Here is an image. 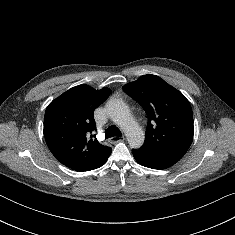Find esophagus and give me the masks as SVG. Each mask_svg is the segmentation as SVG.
I'll use <instances>...</instances> for the list:
<instances>
[{
  "mask_svg": "<svg viewBox=\"0 0 235 235\" xmlns=\"http://www.w3.org/2000/svg\"><path fill=\"white\" fill-rule=\"evenodd\" d=\"M124 139H125L124 136H114V137H111L109 141L110 143L115 144V143L123 141Z\"/></svg>",
  "mask_w": 235,
  "mask_h": 235,
  "instance_id": "1",
  "label": "esophagus"
}]
</instances>
